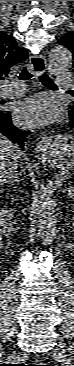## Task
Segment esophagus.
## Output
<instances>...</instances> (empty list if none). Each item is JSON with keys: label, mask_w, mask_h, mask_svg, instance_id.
I'll list each match as a JSON object with an SVG mask.
<instances>
[{"label": "esophagus", "mask_w": 74, "mask_h": 366, "mask_svg": "<svg viewBox=\"0 0 74 366\" xmlns=\"http://www.w3.org/2000/svg\"><path fill=\"white\" fill-rule=\"evenodd\" d=\"M30 63L37 77L44 74L47 70L46 57L43 54L32 55L30 57ZM38 148L40 149L41 152H46L48 148L47 141L45 140L40 141L38 143Z\"/></svg>", "instance_id": "obj_1"}]
</instances>
